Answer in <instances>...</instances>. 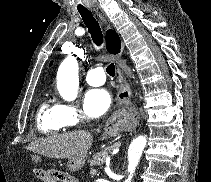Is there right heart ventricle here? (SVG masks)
<instances>
[{"label":"right heart ventricle","instance_id":"obj_1","mask_svg":"<svg viewBox=\"0 0 211 182\" xmlns=\"http://www.w3.org/2000/svg\"><path fill=\"white\" fill-rule=\"evenodd\" d=\"M36 126L44 135H54L64 131L67 124L61 114L59 104L51 100H44L38 108Z\"/></svg>","mask_w":211,"mask_h":182}]
</instances>
